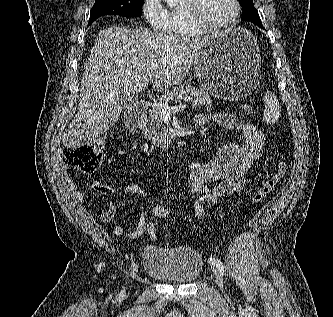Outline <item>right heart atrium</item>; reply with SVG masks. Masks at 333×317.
<instances>
[{"label": "right heart atrium", "mask_w": 333, "mask_h": 317, "mask_svg": "<svg viewBox=\"0 0 333 317\" xmlns=\"http://www.w3.org/2000/svg\"><path fill=\"white\" fill-rule=\"evenodd\" d=\"M141 11L155 31H166L168 27V12L161 3V0H143Z\"/></svg>", "instance_id": "right-heart-atrium-1"}]
</instances>
